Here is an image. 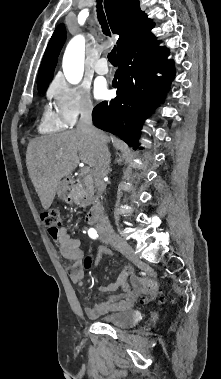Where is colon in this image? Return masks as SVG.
Here are the masks:
<instances>
[{
    "label": "colon",
    "instance_id": "colon-1",
    "mask_svg": "<svg viewBox=\"0 0 221 379\" xmlns=\"http://www.w3.org/2000/svg\"><path fill=\"white\" fill-rule=\"evenodd\" d=\"M42 223L47 227L49 234L55 235L60 225V215L56 209H49L40 215ZM149 296L141 298L142 303H148L157 295L159 284L156 280H150L147 284Z\"/></svg>",
    "mask_w": 221,
    "mask_h": 379
}]
</instances>
